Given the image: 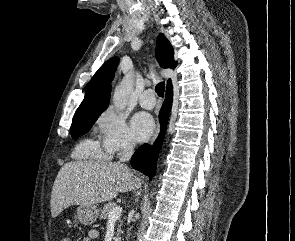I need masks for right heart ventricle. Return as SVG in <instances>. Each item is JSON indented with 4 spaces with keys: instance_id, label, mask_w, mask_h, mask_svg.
Wrapping results in <instances>:
<instances>
[{
    "instance_id": "1",
    "label": "right heart ventricle",
    "mask_w": 295,
    "mask_h": 241,
    "mask_svg": "<svg viewBox=\"0 0 295 241\" xmlns=\"http://www.w3.org/2000/svg\"><path fill=\"white\" fill-rule=\"evenodd\" d=\"M73 157L76 159L103 160L107 159L108 155L99 143L85 139L75 147Z\"/></svg>"
}]
</instances>
